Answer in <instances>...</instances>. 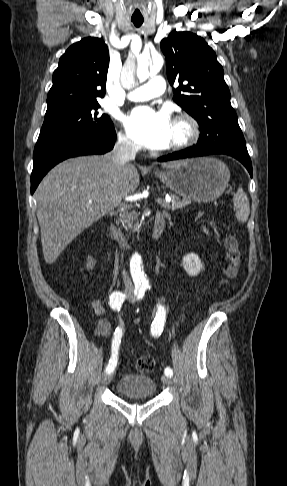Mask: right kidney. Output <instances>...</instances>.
I'll use <instances>...</instances> for the list:
<instances>
[{
  "mask_svg": "<svg viewBox=\"0 0 287 486\" xmlns=\"http://www.w3.org/2000/svg\"><path fill=\"white\" fill-rule=\"evenodd\" d=\"M95 263H96L95 260L92 257L88 256L87 263H86V268L88 270L93 269Z\"/></svg>",
  "mask_w": 287,
  "mask_h": 486,
  "instance_id": "1",
  "label": "right kidney"
}]
</instances>
